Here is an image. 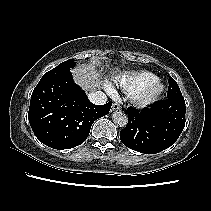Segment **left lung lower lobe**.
<instances>
[{"mask_svg": "<svg viewBox=\"0 0 211 211\" xmlns=\"http://www.w3.org/2000/svg\"><path fill=\"white\" fill-rule=\"evenodd\" d=\"M183 96L167 97L141 111L127 109L128 124L120 132L122 143L145 153H159L173 145L185 126Z\"/></svg>", "mask_w": 211, "mask_h": 211, "instance_id": "obj_1", "label": "left lung lower lobe"}]
</instances>
